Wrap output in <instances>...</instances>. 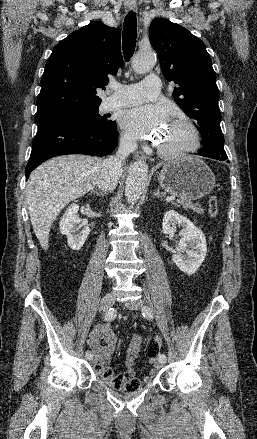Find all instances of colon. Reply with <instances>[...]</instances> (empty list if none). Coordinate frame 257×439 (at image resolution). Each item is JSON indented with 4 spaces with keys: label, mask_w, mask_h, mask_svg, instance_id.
Wrapping results in <instances>:
<instances>
[{
    "label": "colon",
    "mask_w": 257,
    "mask_h": 439,
    "mask_svg": "<svg viewBox=\"0 0 257 439\" xmlns=\"http://www.w3.org/2000/svg\"><path fill=\"white\" fill-rule=\"evenodd\" d=\"M208 212L211 218L218 215V201L212 197L209 201ZM161 348V339L157 336L150 338L145 347V354L148 358L155 359ZM95 371L111 387L124 393H133L140 387V381L137 378H126L123 374L114 373L109 367L95 366Z\"/></svg>",
    "instance_id": "obj_1"
}]
</instances>
